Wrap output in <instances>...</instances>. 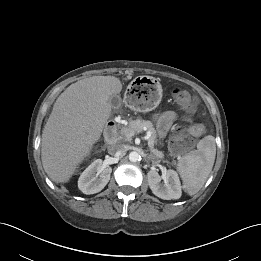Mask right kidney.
Listing matches in <instances>:
<instances>
[{
    "mask_svg": "<svg viewBox=\"0 0 261 261\" xmlns=\"http://www.w3.org/2000/svg\"><path fill=\"white\" fill-rule=\"evenodd\" d=\"M111 172V167L105 166L101 159H97L80 175L78 188L87 195L98 193L109 182Z\"/></svg>",
    "mask_w": 261,
    "mask_h": 261,
    "instance_id": "right-kidney-1",
    "label": "right kidney"
}]
</instances>
